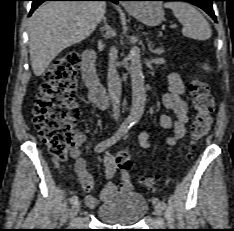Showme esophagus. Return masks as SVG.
Returning <instances> with one entry per match:
<instances>
[{"label": "esophagus", "instance_id": "34e87169", "mask_svg": "<svg viewBox=\"0 0 234 231\" xmlns=\"http://www.w3.org/2000/svg\"><path fill=\"white\" fill-rule=\"evenodd\" d=\"M125 7L126 8H132V7L134 8L133 4H129V3L125 4Z\"/></svg>", "mask_w": 234, "mask_h": 231}]
</instances>
